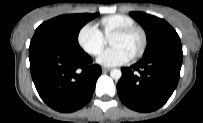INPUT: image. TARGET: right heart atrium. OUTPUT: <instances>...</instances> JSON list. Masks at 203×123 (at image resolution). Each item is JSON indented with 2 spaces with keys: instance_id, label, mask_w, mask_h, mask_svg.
Instances as JSON below:
<instances>
[{
  "instance_id": "1",
  "label": "right heart atrium",
  "mask_w": 203,
  "mask_h": 123,
  "mask_svg": "<svg viewBox=\"0 0 203 123\" xmlns=\"http://www.w3.org/2000/svg\"><path fill=\"white\" fill-rule=\"evenodd\" d=\"M77 40L80 47L92 56L100 54L107 44L103 32L91 23L85 24L79 30Z\"/></svg>"
}]
</instances>
